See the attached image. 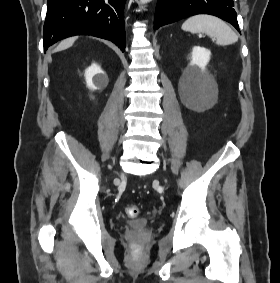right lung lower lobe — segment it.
<instances>
[{"label": "right lung lower lobe", "mask_w": 280, "mask_h": 283, "mask_svg": "<svg viewBox=\"0 0 280 283\" xmlns=\"http://www.w3.org/2000/svg\"><path fill=\"white\" fill-rule=\"evenodd\" d=\"M126 0H48L44 50L74 35H92L114 42L125 51Z\"/></svg>", "instance_id": "1"}]
</instances>
